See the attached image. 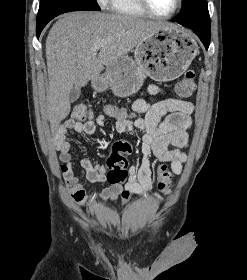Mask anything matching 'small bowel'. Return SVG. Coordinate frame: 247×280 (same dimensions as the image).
<instances>
[{"label": "small bowel", "instance_id": "small-bowel-1", "mask_svg": "<svg viewBox=\"0 0 247 280\" xmlns=\"http://www.w3.org/2000/svg\"><path fill=\"white\" fill-rule=\"evenodd\" d=\"M148 92L151 95H157L163 91L156 85H149ZM133 111L141 116L135 119L112 116L115 120L116 132L125 133L137 130L143 133L141 163L131 166L126 183L118 191H110L106 187L100 193L87 195L74 173L75 160L71 154V143L67 140V133L70 130L77 135H93L97 126L104 127L108 124L107 116L99 114L96 119L85 122L69 118L55 128L53 142L59 152L60 160L64 164L65 184L72 198L78 204H108L120 197L122 205H126L134 196L150 192L152 188V156L163 165L169 164L174 174L181 173L182 165L187 158L182 149L188 144L187 130L191 126L190 115L193 111V104L175 98H167L153 103L137 99L133 103ZM169 146L174 148L170 149ZM78 163L84 170L88 181L92 183L107 181L106 165L100 164L91 156L81 158ZM156 196L159 198L158 195Z\"/></svg>", "mask_w": 247, "mask_h": 280}]
</instances>
